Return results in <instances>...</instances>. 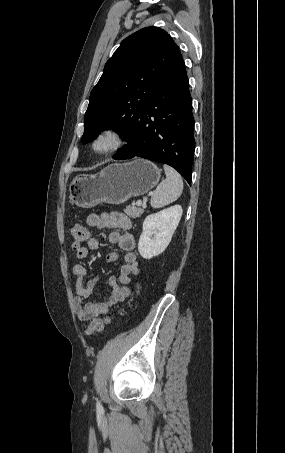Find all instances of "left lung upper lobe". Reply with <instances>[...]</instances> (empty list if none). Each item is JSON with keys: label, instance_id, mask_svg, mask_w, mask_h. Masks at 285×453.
<instances>
[{"label": "left lung upper lobe", "instance_id": "left-lung-upper-lobe-1", "mask_svg": "<svg viewBox=\"0 0 285 453\" xmlns=\"http://www.w3.org/2000/svg\"><path fill=\"white\" fill-rule=\"evenodd\" d=\"M178 50L171 36L154 26L124 39L91 91L83 144L108 128L117 129L126 140Z\"/></svg>", "mask_w": 285, "mask_h": 453}]
</instances>
